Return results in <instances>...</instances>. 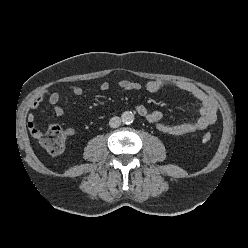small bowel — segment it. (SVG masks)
Segmentation results:
<instances>
[{"mask_svg": "<svg viewBox=\"0 0 248 248\" xmlns=\"http://www.w3.org/2000/svg\"><path fill=\"white\" fill-rule=\"evenodd\" d=\"M118 87L123 91H137L144 87L145 90L149 93H156L164 88L173 87L191 95L200 106L199 117L197 120L192 122L169 124L163 120V114L161 111L149 110L142 104H137L135 106V110L140 116L146 119L149 123L155 125L160 132L165 134L179 136L202 131L213 124L217 119V104L215 100L198 86L188 81H167L161 79H152L145 82V84L142 86L138 82L122 79L119 81ZM99 88L101 91L106 92L110 89V85L108 82H102L99 85ZM70 90L75 96H81L83 94V89L76 85L70 86ZM60 99L61 94L59 91L45 89L33 100V102L30 104V108L33 110L37 109L43 101L48 100L55 115L57 117H61L64 114V110L59 104ZM27 126L31 135L38 139L40 131L35 124V115L33 113L28 114ZM66 134L73 135L74 130L72 128H67Z\"/></svg>", "mask_w": 248, "mask_h": 248, "instance_id": "small-bowel-1", "label": "small bowel"}]
</instances>
